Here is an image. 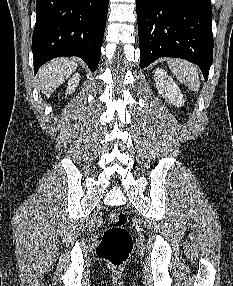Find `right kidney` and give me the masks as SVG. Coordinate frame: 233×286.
I'll return each mask as SVG.
<instances>
[{
    "mask_svg": "<svg viewBox=\"0 0 233 286\" xmlns=\"http://www.w3.org/2000/svg\"><path fill=\"white\" fill-rule=\"evenodd\" d=\"M79 81H80L79 73L74 74L72 78L68 81L67 94H71L75 90V88L79 84Z\"/></svg>",
    "mask_w": 233,
    "mask_h": 286,
    "instance_id": "right-kidney-1",
    "label": "right kidney"
}]
</instances>
